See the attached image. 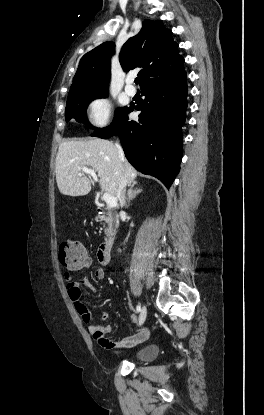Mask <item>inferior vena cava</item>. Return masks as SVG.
I'll return each mask as SVG.
<instances>
[{"instance_id":"obj_1","label":"inferior vena cava","mask_w":264,"mask_h":415,"mask_svg":"<svg viewBox=\"0 0 264 415\" xmlns=\"http://www.w3.org/2000/svg\"><path fill=\"white\" fill-rule=\"evenodd\" d=\"M115 145L118 149L119 157L124 159V152H123L121 145L119 143H116ZM126 185H127V179L126 177H122L119 182L118 191H117V197L120 201L121 206L125 204Z\"/></svg>"}]
</instances>
